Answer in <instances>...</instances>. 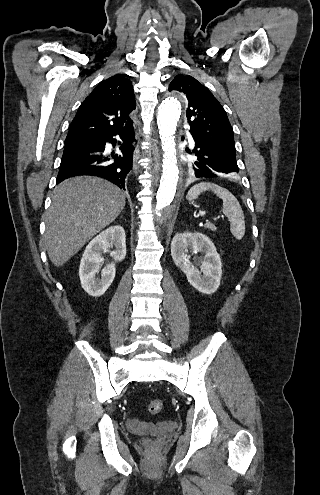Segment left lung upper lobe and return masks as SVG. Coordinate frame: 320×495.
<instances>
[{
	"label": "left lung upper lobe",
	"instance_id": "obj_1",
	"mask_svg": "<svg viewBox=\"0 0 320 495\" xmlns=\"http://www.w3.org/2000/svg\"><path fill=\"white\" fill-rule=\"evenodd\" d=\"M183 93L188 101L186 116L191 134L205 144L224 153L236 156L233 130L223 107L213 94L199 81L189 75H177L169 85V91ZM189 162L190 172L196 160L194 151Z\"/></svg>",
	"mask_w": 320,
	"mask_h": 495
}]
</instances>
